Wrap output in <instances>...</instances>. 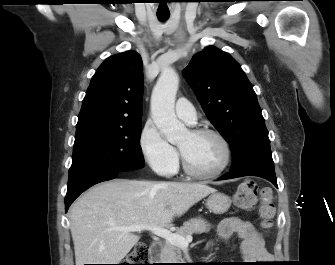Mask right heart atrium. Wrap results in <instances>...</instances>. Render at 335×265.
I'll return each mask as SVG.
<instances>
[{
  "instance_id": "right-heart-atrium-1",
  "label": "right heart atrium",
  "mask_w": 335,
  "mask_h": 265,
  "mask_svg": "<svg viewBox=\"0 0 335 265\" xmlns=\"http://www.w3.org/2000/svg\"><path fill=\"white\" fill-rule=\"evenodd\" d=\"M141 153L157 174L169 176L176 171L178 155L152 121H147L139 138Z\"/></svg>"
}]
</instances>
